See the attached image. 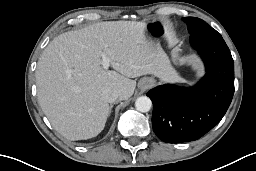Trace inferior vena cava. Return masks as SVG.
Here are the masks:
<instances>
[{
	"instance_id": "602c4592",
	"label": "inferior vena cava",
	"mask_w": 256,
	"mask_h": 171,
	"mask_svg": "<svg viewBox=\"0 0 256 171\" xmlns=\"http://www.w3.org/2000/svg\"><path fill=\"white\" fill-rule=\"evenodd\" d=\"M103 98L108 102V103H113L117 100L119 97V93L117 90L112 89V88H106L103 93Z\"/></svg>"
}]
</instances>
